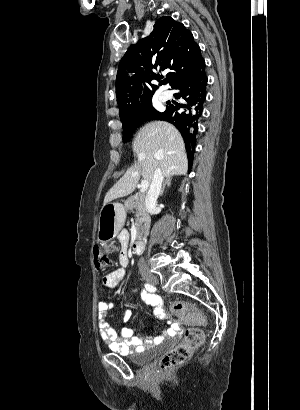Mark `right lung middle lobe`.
<instances>
[{"label": "right lung middle lobe", "instance_id": "obj_1", "mask_svg": "<svg viewBox=\"0 0 300 410\" xmlns=\"http://www.w3.org/2000/svg\"><path fill=\"white\" fill-rule=\"evenodd\" d=\"M158 111H156L152 104L151 100L148 103L147 106H145L141 112L134 118L129 119L125 122H122L123 124V141L128 142L131 135L135 131V129L141 125L143 122L154 118L156 115H158Z\"/></svg>", "mask_w": 300, "mask_h": 410}]
</instances>
